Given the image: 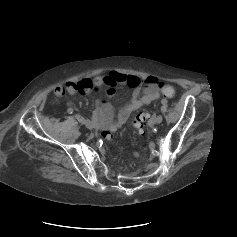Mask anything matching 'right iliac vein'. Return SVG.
I'll return each instance as SVG.
<instances>
[{
    "label": "right iliac vein",
    "mask_w": 237,
    "mask_h": 237,
    "mask_svg": "<svg viewBox=\"0 0 237 237\" xmlns=\"http://www.w3.org/2000/svg\"><path fill=\"white\" fill-rule=\"evenodd\" d=\"M85 126H86L88 129H92V128H93V123H92L90 120H86V121H85Z\"/></svg>",
    "instance_id": "right-iliac-vein-1"
}]
</instances>
